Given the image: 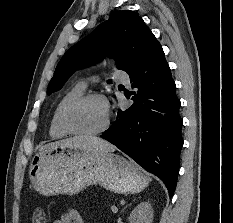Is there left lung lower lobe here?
Wrapping results in <instances>:
<instances>
[{
  "mask_svg": "<svg viewBox=\"0 0 233 223\" xmlns=\"http://www.w3.org/2000/svg\"><path fill=\"white\" fill-rule=\"evenodd\" d=\"M134 103L119 111L101 137L117 146L148 172L158 176L172 197L180 165L182 119L176 86L156 40L129 74Z\"/></svg>",
  "mask_w": 233,
  "mask_h": 223,
  "instance_id": "obj_1",
  "label": "left lung lower lobe"
}]
</instances>
